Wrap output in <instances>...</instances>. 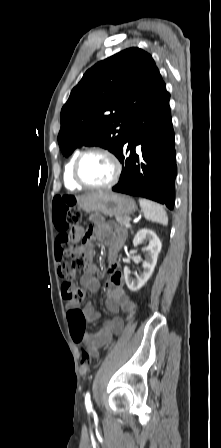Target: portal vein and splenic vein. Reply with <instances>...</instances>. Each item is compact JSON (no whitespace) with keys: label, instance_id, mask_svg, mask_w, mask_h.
<instances>
[{"label":"portal vein and splenic vein","instance_id":"18ae733b","mask_svg":"<svg viewBox=\"0 0 221 448\" xmlns=\"http://www.w3.org/2000/svg\"><path fill=\"white\" fill-rule=\"evenodd\" d=\"M125 227H126V228H130V227H131L130 222H127L126 225H125Z\"/></svg>","mask_w":221,"mask_h":448}]
</instances>
